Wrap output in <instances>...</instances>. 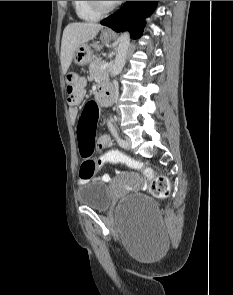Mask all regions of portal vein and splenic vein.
Listing matches in <instances>:
<instances>
[{
	"label": "portal vein and splenic vein",
	"instance_id": "portal-vein-and-splenic-vein-1",
	"mask_svg": "<svg viewBox=\"0 0 233 295\" xmlns=\"http://www.w3.org/2000/svg\"><path fill=\"white\" fill-rule=\"evenodd\" d=\"M108 67V63H104L103 65L100 66V70H104Z\"/></svg>",
	"mask_w": 233,
	"mask_h": 295
}]
</instances>
